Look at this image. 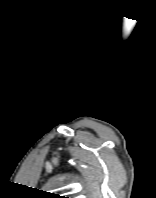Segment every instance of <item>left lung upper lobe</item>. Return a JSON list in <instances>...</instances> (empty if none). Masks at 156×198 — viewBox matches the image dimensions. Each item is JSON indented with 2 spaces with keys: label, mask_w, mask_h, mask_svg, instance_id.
Here are the masks:
<instances>
[{
  "label": "left lung upper lobe",
  "mask_w": 156,
  "mask_h": 198,
  "mask_svg": "<svg viewBox=\"0 0 156 198\" xmlns=\"http://www.w3.org/2000/svg\"><path fill=\"white\" fill-rule=\"evenodd\" d=\"M56 198H64V197H57V196H56Z\"/></svg>",
  "instance_id": "1"
}]
</instances>
